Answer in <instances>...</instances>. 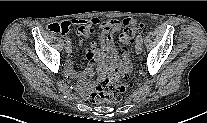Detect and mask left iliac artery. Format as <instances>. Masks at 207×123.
Wrapping results in <instances>:
<instances>
[{"instance_id": "left-iliac-artery-1", "label": "left iliac artery", "mask_w": 207, "mask_h": 123, "mask_svg": "<svg viewBox=\"0 0 207 123\" xmlns=\"http://www.w3.org/2000/svg\"><path fill=\"white\" fill-rule=\"evenodd\" d=\"M136 40L137 41H143V38H142V34L141 33H139V35L137 36V38H136Z\"/></svg>"}]
</instances>
